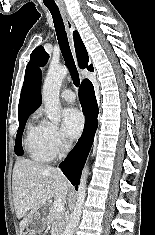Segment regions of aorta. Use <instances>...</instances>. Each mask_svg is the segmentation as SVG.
Instances as JSON below:
<instances>
[{"mask_svg": "<svg viewBox=\"0 0 155 235\" xmlns=\"http://www.w3.org/2000/svg\"><path fill=\"white\" fill-rule=\"evenodd\" d=\"M67 73L68 69L65 66H50L44 81L42 100L45 104L47 117L54 124H58L60 122L59 90ZM87 176L88 168L85 166L81 175L76 205L71 213L70 220L63 235H74L75 228L79 223L82 214V207L86 197Z\"/></svg>", "mask_w": 155, "mask_h": 235, "instance_id": "1", "label": "aorta"}]
</instances>
